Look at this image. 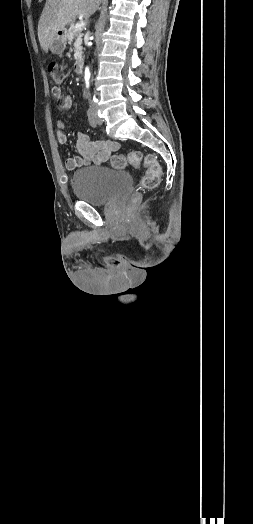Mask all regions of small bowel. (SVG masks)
Segmentation results:
<instances>
[{"mask_svg":"<svg viewBox=\"0 0 253 524\" xmlns=\"http://www.w3.org/2000/svg\"><path fill=\"white\" fill-rule=\"evenodd\" d=\"M51 92L52 95L56 98L61 109H69L72 106V98L68 95H63L60 87H53ZM56 137L61 145H67L68 138L65 132V124L62 119H58L56 121ZM76 140L80 155L66 159L65 166L68 170H74L78 167L86 166L91 163L102 164L109 159L113 152L119 149V144L115 141H94L83 132L77 133Z\"/></svg>","mask_w":253,"mask_h":524,"instance_id":"small-bowel-1","label":"small bowel"}]
</instances>
